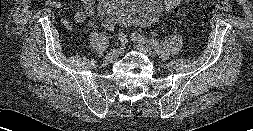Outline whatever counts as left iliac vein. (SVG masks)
I'll return each instance as SVG.
<instances>
[{
	"label": "left iliac vein",
	"instance_id": "1",
	"mask_svg": "<svg viewBox=\"0 0 253 131\" xmlns=\"http://www.w3.org/2000/svg\"><path fill=\"white\" fill-rule=\"evenodd\" d=\"M132 40L137 44L138 50H140L141 52H144L145 54H147L150 57H156L157 56L156 51L153 50L145 42L140 41L139 39L135 38L134 36H132ZM162 58L164 60H166V59H168V55L167 54H163Z\"/></svg>",
	"mask_w": 253,
	"mask_h": 131
}]
</instances>
